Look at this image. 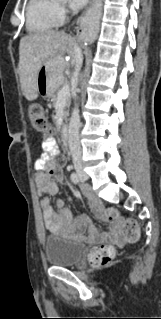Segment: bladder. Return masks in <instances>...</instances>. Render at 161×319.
<instances>
[{"label": "bladder", "mask_w": 161, "mask_h": 319, "mask_svg": "<svg viewBox=\"0 0 161 319\" xmlns=\"http://www.w3.org/2000/svg\"><path fill=\"white\" fill-rule=\"evenodd\" d=\"M43 252L49 265L72 266L83 257L85 245L71 237L50 234L44 239Z\"/></svg>", "instance_id": "obj_1"}]
</instances>
